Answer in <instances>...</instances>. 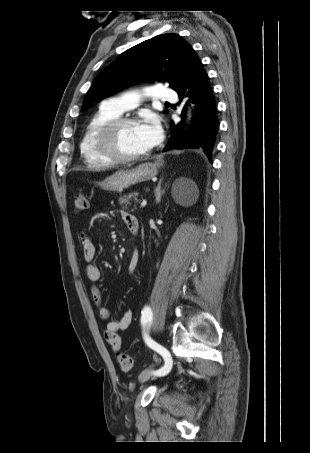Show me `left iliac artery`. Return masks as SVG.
<instances>
[{"mask_svg": "<svg viewBox=\"0 0 310 453\" xmlns=\"http://www.w3.org/2000/svg\"><path fill=\"white\" fill-rule=\"evenodd\" d=\"M152 316L153 315H152V311H151L150 307L145 306L142 310V316H141L142 325L145 326L147 322H150L152 320ZM144 340H145L146 344L150 348H152L153 350L158 352L165 361L164 366H162L160 369L154 371L153 374L157 377H162V376L167 375L172 368V358L170 356V353L163 346H161L160 344L153 341L146 333H144Z\"/></svg>", "mask_w": 310, "mask_h": 453, "instance_id": "44dca946", "label": "left iliac artery"}]
</instances>
